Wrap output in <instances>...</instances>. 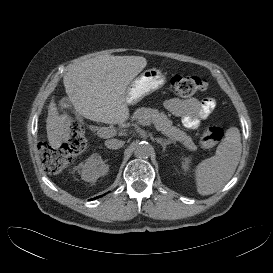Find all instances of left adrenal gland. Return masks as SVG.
I'll return each instance as SVG.
<instances>
[{"instance_id":"left-adrenal-gland-1","label":"left adrenal gland","mask_w":273,"mask_h":273,"mask_svg":"<svg viewBox=\"0 0 273 273\" xmlns=\"http://www.w3.org/2000/svg\"><path fill=\"white\" fill-rule=\"evenodd\" d=\"M155 140L157 143H159L162 146L163 152H165L167 145L172 143L170 140H166L162 138H155Z\"/></svg>"}]
</instances>
